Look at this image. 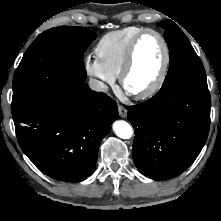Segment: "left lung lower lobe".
<instances>
[{
	"mask_svg": "<svg viewBox=\"0 0 221 221\" xmlns=\"http://www.w3.org/2000/svg\"><path fill=\"white\" fill-rule=\"evenodd\" d=\"M210 109L208 86L187 81L166 84L146 102L130 106L133 159L140 173L167 180L185 171L207 140Z\"/></svg>",
	"mask_w": 221,
	"mask_h": 221,
	"instance_id": "obj_1",
	"label": "left lung lower lobe"
}]
</instances>
